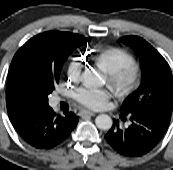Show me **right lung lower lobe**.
<instances>
[{"instance_id": "98d812e1", "label": "right lung lower lobe", "mask_w": 173, "mask_h": 170, "mask_svg": "<svg viewBox=\"0 0 173 170\" xmlns=\"http://www.w3.org/2000/svg\"><path fill=\"white\" fill-rule=\"evenodd\" d=\"M9 119L20 137L38 149H51L68 138L78 123L70 112L57 115L48 105L27 104L8 111Z\"/></svg>"}]
</instances>
